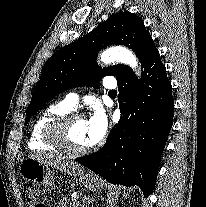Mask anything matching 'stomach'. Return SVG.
I'll use <instances>...</instances> for the list:
<instances>
[{"label":"stomach","mask_w":206,"mask_h":207,"mask_svg":"<svg viewBox=\"0 0 206 207\" xmlns=\"http://www.w3.org/2000/svg\"><path fill=\"white\" fill-rule=\"evenodd\" d=\"M19 173L23 179L45 186L52 185L54 181V171L50 166L32 157H27L21 161ZM77 183L91 191H96L103 186L102 181L93 174L80 175Z\"/></svg>","instance_id":"0dacf381"}]
</instances>
